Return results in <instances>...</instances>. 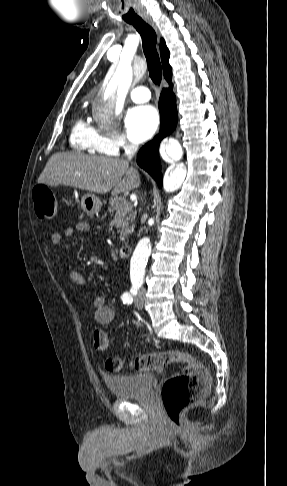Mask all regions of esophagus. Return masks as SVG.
Masks as SVG:
<instances>
[{
	"mask_svg": "<svg viewBox=\"0 0 287 486\" xmlns=\"http://www.w3.org/2000/svg\"><path fill=\"white\" fill-rule=\"evenodd\" d=\"M144 20L154 29V31L158 34V28L156 24L149 18V17H144Z\"/></svg>",
	"mask_w": 287,
	"mask_h": 486,
	"instance_id": "34e87169",
	"label": "esophagus"
}]
</instances>
